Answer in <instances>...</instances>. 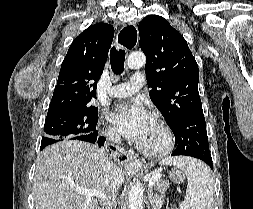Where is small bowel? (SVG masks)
<instances>
[{"instance_id": "small-bowel-1", "label": "small bowel", "mask_w": 253, "mask_h": 209, "mask_svg": "<svg viewBox=\"0 0 253 209\" xmlns=\"http://www.w3.org/2000/svg\"><path fill=\"white\" fill-rule=\"evenodd\" d=\"M169 209H176V207L174 205H171Z\"/></svg>"}]
</instances>
